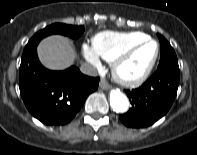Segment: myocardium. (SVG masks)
Returning <instances> with one entry per match:
<instances>
[{
	"label": "myocardium",
	"mask_w": 197,
	"mask_h": 155,
	"mask_svg": "<svg viewBox=\"0 0 197 155\" xmlns=\"http://www.w3.org/2000/svg\"><path fill=\"white\" fill-rule=\"evenodd\" d=\"M147 43H153L155 45L154 55L147 65V67L138 75L127 76L122 72L123 65L129 60V58L143 45ZM159 56V45L154 39L147 37L143 40H140L128 48H126L122 53H120L117 58L113 61L112 65V75L116 82L125 86V87H136L143 82H145L150 74L152 73L155 64Z\"/></svg>",
	"instance_id": "obj_1"
}]
</instances>
